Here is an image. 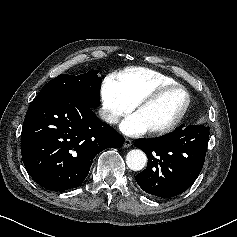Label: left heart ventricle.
<instances>
[{
    "instance_id": "left-heart-ventricle-1",
    "label": "left heart ventricle",
    "mask_w": 237,
    "mask_h": 237,
    "mask_svg": "<svg viewBox=\"0 0 237 237\" xmlns=\"http://www.w3.org/2000/svg\"><path fill=\"white\" fill-rule=\"evenodd\" d=\"M185 101L186 95L182 90H172L165 93L155 102L138 110L136 114L147 130L163 127L176 117Z\"/></svg>"
}]
</instances>
